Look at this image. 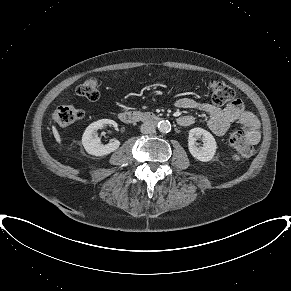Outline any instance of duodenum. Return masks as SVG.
<instances>
[{"mask_svg":"<svg viewBox=\"0 0 291 291\" xmlns=\"http://www.w3.org/2000/svg\"><path fill=\"white\" fill-rule=\"evenodd\" d=\"M121 122L131 124L137 121L157 123L160 118L152 113H143L138 111H122L119 113Z\"/></svg>","mask_w":291,"mask_h":291,"instance_id":"obj_1","label":"duodenum"}]
</instances>
